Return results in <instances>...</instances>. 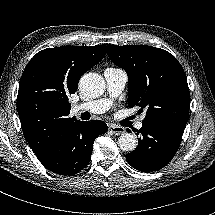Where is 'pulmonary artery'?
Segmentation results:
<instances>
[{
    "mask_svg": "<svg viewBox=\"0 0 215 215\" xmlns=\"http://www.w3.org/2000/svg\"><path fill=\"white\" fill-rule=\"evenodd\" d=\"M104 76L109 98H102L75 105L73 107L74 113L89 112L91 114H102L111 107L112 99L119 96L125 88L128 75L124 69L108 67L104 71ZM144 118L145 116H142L139 121L135 123V128L137 130H142L144 128Z\"/></svg>",
    "mask_w": 215,
    "mask_h": 215,
    "instance_id": "1",
    "label": "pulmonary artery"
}]
</instances>
